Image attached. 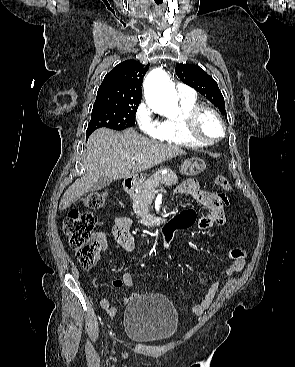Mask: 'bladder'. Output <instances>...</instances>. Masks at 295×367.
Returning a JSON list of instances; mask_svg holds the SVG:
<instances>
[{
    "instance_id": "1",
    "label": "bladder",
    "mask_w": 295,
    "mask_h": 367,
    "mask_svg": "<svg viewBox=\"0 0 295 367\" xmlns=\"http://www.w3.org/2000/svg\"><path fill=\"white\" fill-rule=\"evenodd\" d=\"M179 323L178 312L168 298L160 294L135 297L125 308V334L140 342H163L174 337Z\"/></svg>"
}]
</instances>
